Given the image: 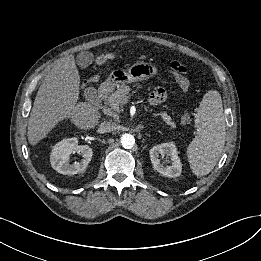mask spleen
I'll return each mask as SVG.
<instances>
[{
  "instance_id": "obj_1",
  "label": "spleen",
  "mask_w": 261,
  "mask_h": 261,
  "mask_svg": "<svg viewBox=\"0 0 261 261\" xmlns=\"http://www.w3.org/2000/svg\"><path fill=\"white\" fill-rule=\"evenodd\" d=\"M197 136L187 147V157L196 176L209 174L223 151L225 120L221 96L210 90L204 96L195 114Z\"/></svg>"
}]
</instances>
